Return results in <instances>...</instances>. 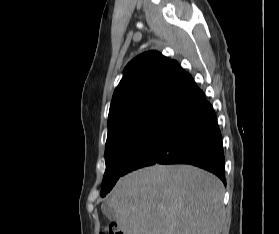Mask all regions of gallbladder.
<instances>
[{"mask_svg": "<svg viewBox=\"0 0 279 234\" xmlns=\"http://www.w3.org/2000/svg\"><path fill=\"white\" fill-rule=\"evenodd\" d=\"M102 210H103L104 215L107 218H109L111 220H115L116 219L115 211L112 208H109L107 205H104L102 207Z\"/></svg>", "mask_w": 279, "mask_h": 234, "instance_id": "gallbladder-1", "label": "gallbladder"}]
</instances>
